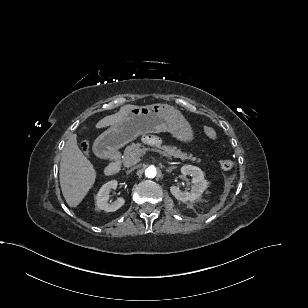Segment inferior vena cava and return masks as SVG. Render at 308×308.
<instances>
[{
    "instance_id": "1",
    "label": "inferior vena cava",
    "mask_w": 308,
    "mask_h": 308,
    "mask_svg": "<svg viewBox=\"0 0 308 308\" xmlns=\"http://www.w3.org/2000/svg\"><path fill=\"white\" fill-rule=\"evenodd\" d=\"M126 171H127V173H129V174H132V173H133V169H132V168H130V167H129V168H127V170H126Z\"/></svg>"
}]
</instances>
